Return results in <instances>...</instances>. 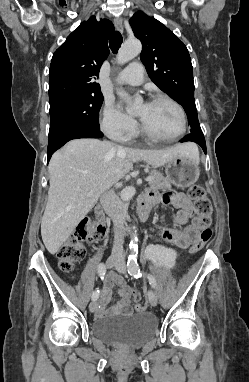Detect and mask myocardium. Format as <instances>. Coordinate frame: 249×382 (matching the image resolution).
Listing matches in <instances>:
<instances>
[{
  "mask_svg": "<svg viewBox=\"0 0 249 382\" xmlns=\"http://www.w3.org/2000/svg\"><path fill=\"white\" fill-rule=\"evenodd\" d=\"M156 102H167L175 107V109L178 111L181 119V130L178 134H176L173 137H160L156 134H154L152 131H150L143 123L140 121V130L144 136H146L149 139H152L154 141L158 142H174L180 139L187 130V117L186 113L183 109V107L173 98L166 96V95H156L154 96L149 103H156Z\"/></svg>",
  "mask_w": 249,
  "mask_h": 382,
  "instance_id": "f54148a6",
  "label": "myocardium"
}]
</instances>
